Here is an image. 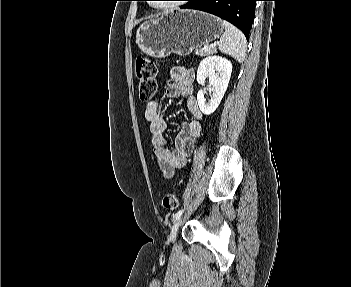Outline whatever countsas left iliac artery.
<instances>
[{"mask_svg":"<svg viewBox=\"0 0 351 287\" xmlns=\"http://www.w3.org/2000/svg\"><path fill=\"white\" fill-rule=\"evenodd\" d=\"M184 209L179 210L175 215H173V219H179L180 216L182 215Z\"/></svg>","mask_w":351,"mask_h":287,"instance_id":"left-iliac-artery-1","label":"left iliac artery"}]
</instances>
